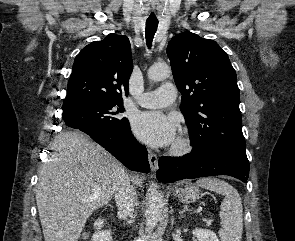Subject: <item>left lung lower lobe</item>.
<instances>
[{"label": "left lung lower lobe", "mask_w": 295, "mask_h": 241, "mask_svg": "<svg viewBox=\"0 0 295 241\" xmlns=\"http://www.w3.org/2000/svg\"><path fill=\"white\" fill-rule=\"evenodd\" d=\"M158 164L156 177L164 183L213 175H229L246 182L249 176L247 156L224 148L192 150L182 158L164 156Z\"/></svg>", "instance_id": "0a47b994"}]
</instances>
